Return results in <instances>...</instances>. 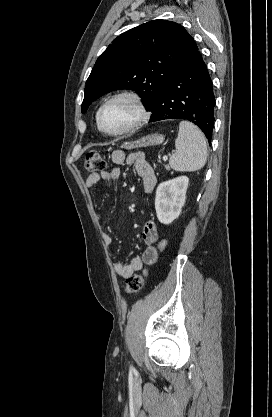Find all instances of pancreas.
I'll list each match as a JSON object with an SVG mask.
<instances>
[{
  "mask_svg": "<svg viewBox=\"0 0 272 417\" xmlns=\"http://www.w3.org/2000/svg\"><path fill=\"white\" fill-rule=\"evenodd\" d=\"M165 167H166L167 170H169V167L168 166H165Z\"/></svg>",
  "mask_w": 272,
  "mask_h": 417,
  "instance_id": "pancreas-1",
  "label": "pancreas"
}]
</instances>
